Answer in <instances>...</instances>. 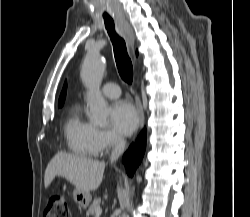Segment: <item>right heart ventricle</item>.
<instances>
[{
  "label": "right heart ventricle",
  "instance_id": "right-heart-ventricle-1",
  "mask_svg": "<svg viewBox=\"0 0 250 217\" xmlns=\"http://www.w3.org/2000/svg\"><path fill=\"white\" fill-rule=\"evenodd\" d=\"M95 130L91 123L83 119L78 105L70 108L64 122L63 132L67 147L72 153L84 157L96 155Z\"/></svg>",
  "mask_w": 250,
  "mask_h": 217
}]
</instances>
